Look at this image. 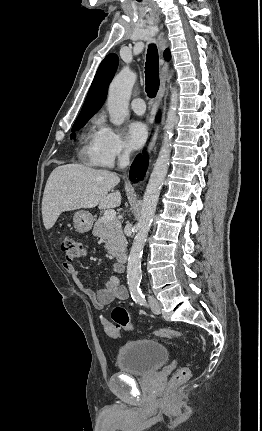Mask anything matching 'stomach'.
<instances>
[{
  "label": "stomach",
  "instance_id": "stomach-1",
  "mask_svg": "<svg viewBox=\"0 0 262 431\" xmlns=\"http://www.w3.org/2000/svg\"><path fill=\"white\" fill-rule=\"evenodd\" d=\"M73 222L75 228L79 232L85 233L91 230L94 219L90 212L85 210H79L74 213Z\"/></svg>",
  "mask_w": 262,
  "mask_h": 431
}]
</instances>
